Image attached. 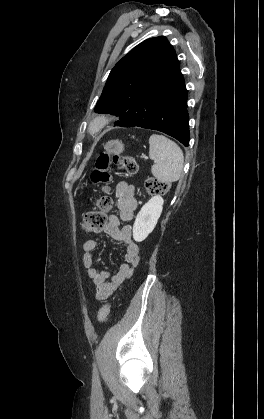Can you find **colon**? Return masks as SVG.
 Returning <instances> with one entry per match:
<instances>
[{
  "instance_id": "5ec220e1",
  "label": "colon",
  "mask_w": 264,
  "mask_h": 419,
  "mask_svg": "<svg viewBox=\"0 0 264 419\" xmlns=\"http://www.w3.org/2000/svg\"><path fill=\"white\" fill-rule=\"evenodd\" d=\"M114 164L119 170L135 174L138 171L136 161L129 156L114 155L110 156L107 153H102L97 161L96 167L91 174V180L95 184H101V191L103 195L98 197L95 201V209L85 213L82 219V228L87 233H98L103 230L106 224V213L110 210L112 202L109 193V182L111 181V165ZM147 191L151 195L165 194L169 190V183L158 180L156 178H149L145 183ZM110 311L109 304L103 305L98 312V320L105 323L108 319Z\"/></svg>"
}]
</instances>
